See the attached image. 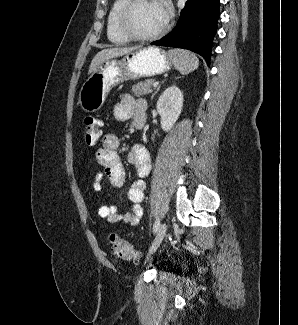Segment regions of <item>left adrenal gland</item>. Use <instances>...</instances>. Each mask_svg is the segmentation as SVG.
I'll list each match as a JSON object with an SVG mask.
<instances>
[{
	"label": "left adrenal gland",
	"mask_w": 298,
	"mask_h": 325,
	"mask_svg": "<svg viewBox=\"0 0 298 325\" xmlns=\"http://www.w3.org/2000/svg\"><path fill=\"white\" fill-rule=\"evenodd\" d=\"M160 88H161V84H159V86H157V88H156L155 92H153L151 98H154L155 94H157V92H158V90H160Z\"/></svg>",
	"instance_id": "1"
}]
</instances>
